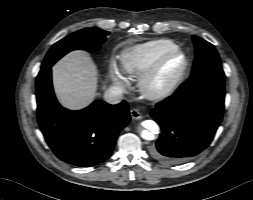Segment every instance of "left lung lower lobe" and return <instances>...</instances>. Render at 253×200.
<instances>
[{
	"instance_id": "left-lung-lower-lobe-1",
	"label": "left lung lower lobe",
	"mask_w": 253,
	"mask_h": 200,
	"mask_svg": "<svg viewBox=\"0 0 253 200\" xmlns=\"http://www.w3.org/2000/svg\"><path fill=\"white\" fill-rule=\"evenodd\" d=\"M224 99V80L205 78L191 85L184 82L150 113L161 127L151 155L176 164L207 148L222 121Z\"/></svg>"
}]
</instances>
